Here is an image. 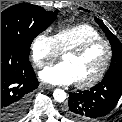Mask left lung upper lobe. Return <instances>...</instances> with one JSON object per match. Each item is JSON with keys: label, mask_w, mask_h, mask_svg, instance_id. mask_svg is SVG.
Masks as SVG:
<instances>
[{"label": "left lung upper lobe", "mask_w": 122, "mask_h": 122, "mask_svg": "<svg viewBox=\"0 0 122 122\" xmlns=\"http://www.w3.org/2000/svg\"><path fill=\"white\" fill-rule=\"evenodd\" d=\"M95 21L102 28L112 46V62L106 75L122 71V44L120 43L118 38L103 24L100 19L95 18Z\"/></svg>", "instance_id": "5c2ea615"}]
</instances>
